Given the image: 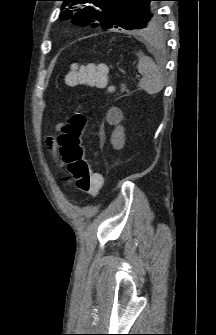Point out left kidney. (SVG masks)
Instances as JSON below:
<instances>
[{
	"label": "left kidney",
	"mask_w": 216,
	"mask_h": 335,
	"mask_svg": "<svg viewBox=\"0 0 216 335\" xmlns=\"http://www.w3.org/2000/svg\"><path fill=\"white\" fill-rule=\"evenodd\" d=\"M124 127L121 125H118L115 127L114 131L111 135V144L115 150H120L123 148L125 144V133H124Z\"/></svg>",
	"instance_id": "left-kidney-1"
}]
</instances>
